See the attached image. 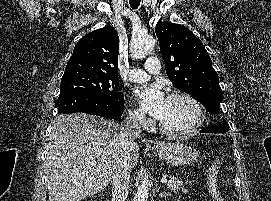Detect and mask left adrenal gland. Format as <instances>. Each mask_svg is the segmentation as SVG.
<instances>
[{
    "mask_svg": "<svg viewBox=\"0 0 271 201\" xmlns=\"http://www.w3.org/2000/svg\"><path fill=\"white\" fill-rule=\"evenodd\" d=\"M159 196H160L161 198H167V197L170 196V193H167V192L163 191V192H160V193H159Z\"/></svg>",
    "mask_w": 271,
    "mask_h": 201,
    "instance_id": "obj_1",
    "label": "left adrenal gland"
}]
</instances>
